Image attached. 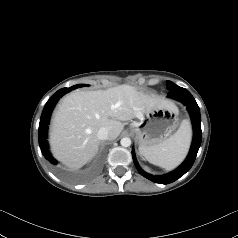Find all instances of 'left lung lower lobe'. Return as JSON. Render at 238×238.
I'll return each mask as SVG.
<instances>
[{
	"label": "left lung lower lobe",
	"instance_id": "obj_1",
	"mask_svg": "<svg viewBox=\"0 0 238 238\" xmlns=\"http://www.w3.org/2000/svg\"><path fill=\"white\" fill-rule=\"evenodd\" d=\"M168 97L182 102L187 107V110L189 111L191 116L194 134H193L192 145L185 161L177 169L170 172L169 174L162 175V176H154V175L146 173L140 168L136 160L134 150L132 149L133 161L138 172L145 178L159 184L172 183L176 181L177 179H179L181 176H183L187 171H189V169L192 167L195 161V158H196V155L202 140L200 110H199V106L197 105L191 93L185 88L178 86L175 89L170 90V92L168 93Z\"/></svg>",
	"mask_w": 238,
	"mask_h": 238
}]
</instances>
